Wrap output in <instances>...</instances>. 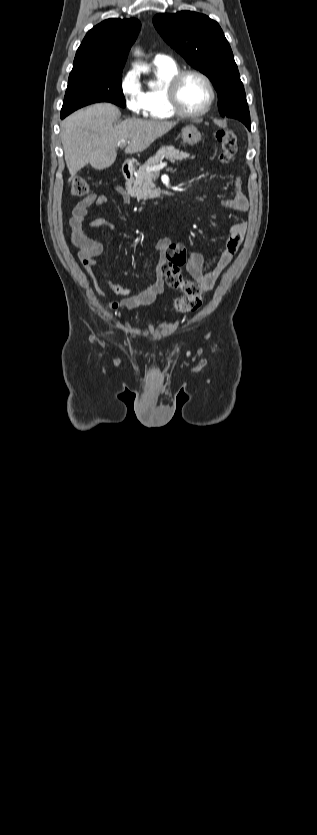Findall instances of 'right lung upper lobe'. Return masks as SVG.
I'll return each instance as SVG.
<instances>
[{"label": "right lung upper lobe", "instance_id": "obj_1", "mask_svg": "<svg viewBox=\"0 0 317 835\" xmlns=\"http://www.w3.org/2000/svg\"><path fill=\"white\" fill-rule=\"evenodd\" d=\"M140 27L137 19H107L96 25L79 46L73 69L122 70Z\"/></svg>", "mask_w": 317, "mask_h": 835}]
</instances>
